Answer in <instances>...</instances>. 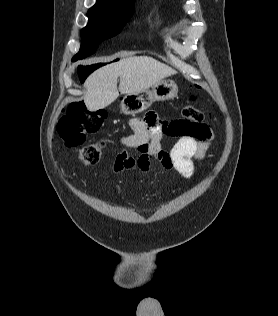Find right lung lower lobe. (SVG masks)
<instances>
[{"label": "right lung lower lobe", "mask_w": 278, "mask_h": 316, "mask_svg": "<svg viewBox=\"0 0 278 316\" xmlns=\"http://www.w3.org/2000/svg\"><path fill=\"white\" fill-rule=\"evenodd\" d=\"M80 78L82 79V80H84L85 78H83L81 75H80Z\"/></svg>", "instance_id": "98d812e1"}]
</instances>
